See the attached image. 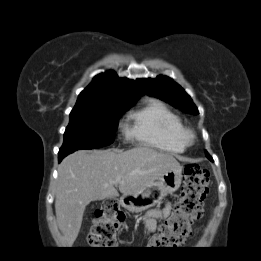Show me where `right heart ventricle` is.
<instances>
[{
  "label": "right heart ventricle",
  "instance_id": "right-heart-ventricle-1",
  "mask_svg": "<svg viewBox=\"0 0 261 261\" xmlns=\"http://www.w3.org/2000/svg\"><path fill=\"white\" fill-rule=\"evenodd\" d=\"M129 135L140 144L169 153H182L186 144L180 118L159 100H150L132 111Z\"/></svg>",
  "mask_w": 261,
  "mask_h": 261
}]
</instances>
